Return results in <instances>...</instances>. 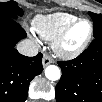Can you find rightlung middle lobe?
Returning a JSON list of instances; mask_svg holds the SVG:
<instances>
[{
    "mask_svg": "<svg viewBox=\"0 0 102 102\" xmlns=\"http://www.w3.org/2000/svg\"><path fill=\"white\" fill-rule=\"evenodd\" d=\"M23 11L18 7L17 2L8 1L0 3V20L4 18L16 19L18 16H22Z\"/></svg>",
    "mask_w": 102,
    "mask_h": 102,
    "instance_id": "dd1d6c3e",
    "label": "right lung middle lobe"
}]
</instances>
